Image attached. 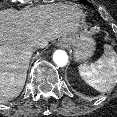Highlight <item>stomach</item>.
Returning <instances> with one entry per match:
<instances>
[{
	"instance_id": "1",
	"label": "stomach",
	"mask_w": 117,
	"mask_h": 117,
	"mask_svg": "<svg viewBox=\"0 0 117 117\" xmlns=\"http://www.w3.org/2000/svg\"><path fill=\"white\" fill-rule=\"evenodd\" d=\"M60 43L73 49L74 57L77 61L89 58L95 50V40L85 32H77L72 35L64 36Z\"/></svg>"
}]
</instances>
